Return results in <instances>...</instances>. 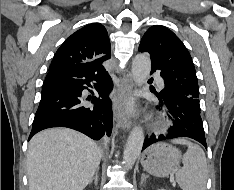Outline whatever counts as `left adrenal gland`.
Returning a JSON list of instances; mask_svg holds the SVG:
<instances>
[{
	"mask_svg": "<svg viewBox=\"0 0 234 190\" xmlns=\"http://www.w3.org/2000/svg\"><path fill=\"white\" fill-rule=\"evenodd\" d=\"M148 178V175H145L144 173L142 174L141 177V185L146 181V179Z\"/></svg>",
	"mask_w": 234,
	"mask_h": 190,
	"instance_id": "left-adrenal-gland-1",
	"label": "left adrenal gland"
}]
</instances>
